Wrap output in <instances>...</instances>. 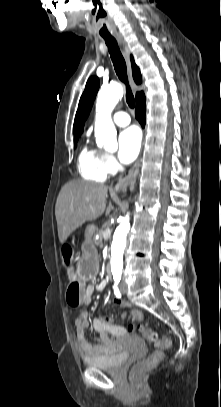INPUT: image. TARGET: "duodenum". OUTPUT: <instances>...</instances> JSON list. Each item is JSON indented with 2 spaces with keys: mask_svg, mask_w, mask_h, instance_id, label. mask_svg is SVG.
I'll use <instances>...</instances> for the list:
<instances>
[{
  "mask_svg": "<svg viewBox=\"0 0 221 407\" xmlns=\"http://www.w3.org/2000/svg\"><path fill=\"white\" fill-rule=\"evenodd\" d=\"M106 275H107L108 279L112 278V273H111V269H110L109 265H107V267H106Z\"/></svg>",
  "mask_w": 221,
  "mask_h": 407,
  "instance_id": "410a0bca",
  "label": "duodenum"
}]
</instances>
